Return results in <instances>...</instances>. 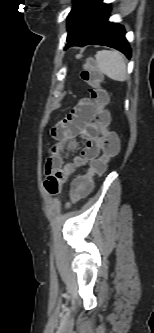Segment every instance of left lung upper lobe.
<instances>
[{
  "label": "left lung upper lobe",
  "mask_w": 154,
  "mask_h": 333,
  "mask_svg": "<svg viewBox=\"0 0 154 333\" xmlns=\"http://www.w3.org/2000/svg\"><path fill=\"white\" fill-rule=\"evenodd\" d=\"M98 0H74V5L68 15L67 41L77 32L84 16L91 10Z\"/></svg>",
  "instance_id": "left-lung-upper-lobe-1"
}]
</instances>
